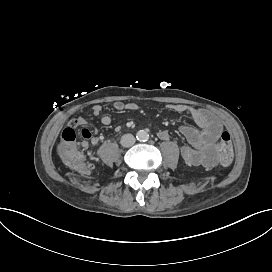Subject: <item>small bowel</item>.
Instances as JSON below:
<instances>
[{
    "instance_id": "1",
    "label": "small bowel",
    "mask_w": 272,
    "mask_h": 272,
    "mask_svg": "<svg viewBox=\"0 0 272 272\" xmlns=\"http://www.w3.org/2000/svg\"><path fill=\"white\" fill-rule=\"evenodd\" d=\"M168 108L178 113L188 112L197 125V127L190 125H182L180 127L181 134L188 142V144H183L180 147L182 159L190 165L204 164L209 166L205 161L206 151L222 131L220 120L212 112L202 108L191 107L184 104H170L168 105ZM113 109L117 112L125 110L135 111L138 109V105L133 102L124 103L116 101L113 103ZM102 110L101 105H93L91 107L92 116L94 119H99L103 125L108 126L112 123V118L109 115H102ZM87 125H92V123L84 116H78L72 119L67 125L74 130L78 126L84 127L80 132V135L83 138V148H88L89 140L97 133L95 128L89 129L85 127ZM119 129V127L116 128V130ZM158 137L161 140H168L170 138V132L161 130L158 132Z\"/></svg>"
}]
</instances>
